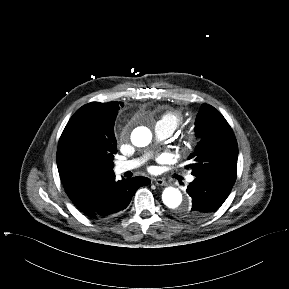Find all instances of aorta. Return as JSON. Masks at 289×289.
<instances>
[{
	"instance_id": "aorta-1",
	"label": "aorta",
	"mask_w": 289,
	"mask_h": 289,
	"mask_svg": "<svg viewBox=\"0 0 289 289\" xmlns=\"http://www.w3.org/2000/svg\"><path fill=\"white\" fill-rule=\"evenodd\" d=\"M152 139L151 131L147 127H138L132 134V143L137 147L147 146ZM163 203L170 209L181 210L187 212L191 205L188 201L183 203V197L179 189L167 187L162 193Z\"/></svg>"
}]
</instances>
